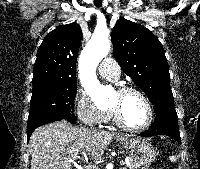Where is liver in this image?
<instances>
[{
  "mask_svg": "<svg viewBox=\"0 0 200 169\" xmlns=\"http://www.w3.org/2000/svg\"><path fill=\"white\" fill-rule=\"evenodd\" d=\"M114 133L76 128L66 121L37 128L30 138L31 169H72L71 160L101 157Z\"/></svg>",
  "mask_w": 200,
  "mask_h": 169,
  "instance_id": "6515ba94",
  "label": "liver"
}]
</instances>
